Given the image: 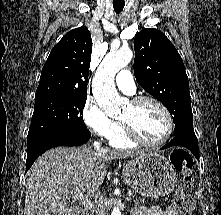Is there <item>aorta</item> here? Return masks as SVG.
<instances>
[{"label": "aorta", "instance_id": "aorta-1", "mask_svg": "<svg viewBox=\"0 0 221 215\" xmlns=\"http://www.w3.org/2000/svg\"><path fill=\"white\" fill-rule=\"evenodd\" d=\"M133 57L130 49L110 51L98 67L92 83L93 96L98 106L108 115L114 116L121 111L122 99L114 84L116 73L129 64ZM111 215H122L118 207H114Z\"/></svg>", "mask_w": 221, "mask_h": 215}]
</instances>
